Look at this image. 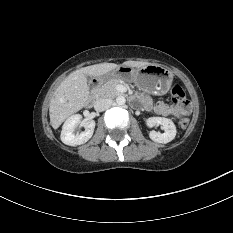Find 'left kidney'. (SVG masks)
I'll return each instance as SVG.
<instances>
[{
  "mask_svg": "<svg viewBox=\"0 0 233 233\" xmlns=\"http://www.w3.org/2000/svg\"><path fill=\"white\" fill-rule=\"evenodd\" d=\"M162 125L164 132L150 131L149 137L151 140L158 143H168L172 141L177 133L176 126L171 119L164 117H150L147 119V125L152 127L154 125Z\"/></svg>",
  "mask_w": 233,
  "mask_h": 233,
  "instance_id": "obj_1",
  "label": "left kidney"
}]
</instances>
